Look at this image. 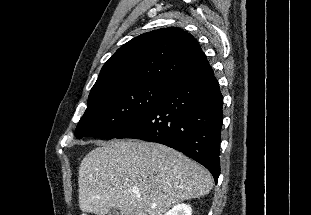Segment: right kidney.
Segmentation results:
<instances>
[{
    "instance_id": "right-kidney-1",
    "label": "right kidney",
    "mask_w": 311,
    "mask_h": 215,
    "mask_svg": "<svg viewBox=\"0 0 311 215\" xmlns=\"http://www.w3.org/2000/svg\"><path fill=\"white\" fill-rule=\"evenodd\" d=\"M164 215H192V209L190 205L178 204L174 206L171 210L166 212Z\"/></svg>"
}]
</instances>
